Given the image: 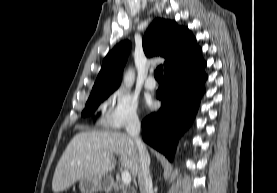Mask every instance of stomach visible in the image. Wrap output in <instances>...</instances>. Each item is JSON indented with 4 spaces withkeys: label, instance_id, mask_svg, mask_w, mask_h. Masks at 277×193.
Returning a JSON list of instances; mask_svg holds the SVG:
<instances>
[{
    "label": "stomach",
    "instance_id": "1",
    "mask_svg": "<svg viewBox=\"0 0 277 193\" xmlns=\"http://www.w3.org/2000/svg\"><path fill=\"white\" fill-rule=\"evenodd\" d=\"M79 188L82 193L108 192L112 188V178L108 175L84 177L80 179Z\"/></svg>",
    "mask_w": 277,
    "mask_h": 193
}]
</instances>
